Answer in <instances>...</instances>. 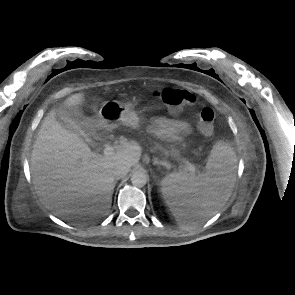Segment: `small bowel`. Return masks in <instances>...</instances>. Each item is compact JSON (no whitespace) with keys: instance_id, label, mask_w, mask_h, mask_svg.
<instances>
[{"instance_id":"small-bowel-1","label":"small bowel","mask_w":295,"mask_h":295,"mask_svg":"<svg viewBox=\"0 0 295 295\" xmlns=\"http://www.w3.org/2000/svg\"><path fill=\"white\" fill-rule=\"evenodd\" d=\"M156 132L168 139H178L190 132V124L183 120L159 118L154 121Z\"/></svg>"}]
</instances>
